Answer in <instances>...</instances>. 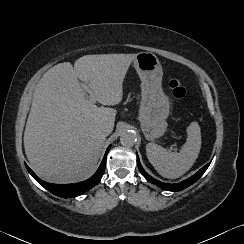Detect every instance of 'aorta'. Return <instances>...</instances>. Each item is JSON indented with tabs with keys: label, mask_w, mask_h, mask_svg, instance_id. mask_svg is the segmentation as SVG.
<instances>
[{
	"label": "aorta",
	"mask_w": 244,
	"mask_h": 244,
	"mask_svg": "<svg viewBox=\"0 0 244 244\" xmlns=\"http://www.w3.org/2000/svg\"><path fill=\"white\" fill-rule=\"evenodd\" d=\"M136 142V133L132 130H124L120 135V143L125 147H132Z\"/></svg>",
	"instance_id": "obj_1"
}]
</instances>
